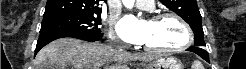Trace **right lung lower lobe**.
Segmentation results:
<instances>
[{
  "mask_svg": "<svg viewBox=\"0 0 246 69\" xmlns=\"http://www.w3.org/2000/svg\"><path fill=\"white\" fill-rule=\"evenodd\" d=\"M103 34H98L94 36H89V35H80L72 32H50V33H42L39 36V39L37 41L36 49L35 52L37 53L42 47L47 45L53 40L63 38V37H73L81 40H86V41H97L102 38Z\"/></svg>",
  "mask_w": 246,
  "mask_h": 69,
  "instance_id": "right-lung-lower-lobe-1",
  "label": "right lung lower lobe"
}]
</instances>
